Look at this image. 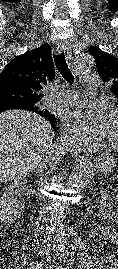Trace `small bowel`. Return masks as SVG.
I'll use <instances>...</instances> for the list:
<instances>
[{
	"mask_svg": "<svg viewBox=\"0 0 118 269\" xmlns=\"http://www.w3.org/2000/svg\"><path fill=\"white\" fill-rule=\"evenodd\" d=\"M117 198H118V195H117ZM114 223L118 225V216L114 218ZM104 231H105V234L110 239V241L118 247V231H114L111 229H106Z\"/></svg>",
	"mask_w": 118,
	"mask_h": 269,
	"instance_id": "1",
	"label": "small bowel"
}]
</instances>
